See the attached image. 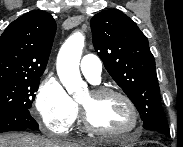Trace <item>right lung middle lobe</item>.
Masks as SVG:
<instances>
[{"label": "right lung middle lobe", "mask_w": 183, "mask_h": 147, "mask_svg": "<svg viewBox=\"0 0 183 147\" xmlns=\"http://www.w3.org/2000/svg\"><path fill=\"white\" fill-rule=\"evenodd\" d=\"M40 77L0 81V112L30 109L38 90Z\"/></svg>", "instance_id": "1"}]
</instances>
